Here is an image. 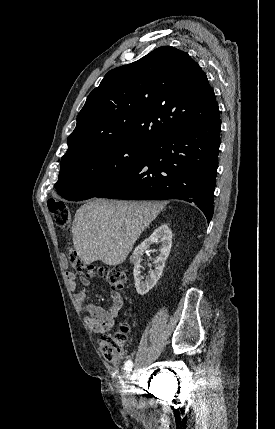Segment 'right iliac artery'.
<instances>
[{
  "label": "right iliac artery",
  "mask_w": 275,
  "mask_h": 429,
  "mask_svg": "<svg viewBox=\"0 0 275 429\" xmlns=\"http://www.w3.org/2000/svg\"><path fill=\"white\" fill-rule=\"evenodd\" d=\"M133 367V362L131 360H128L124 365V370L126 373H130Z\"/></svg>",
  "instance_id": "right-iliac-artery-1"
}]
</instances>
